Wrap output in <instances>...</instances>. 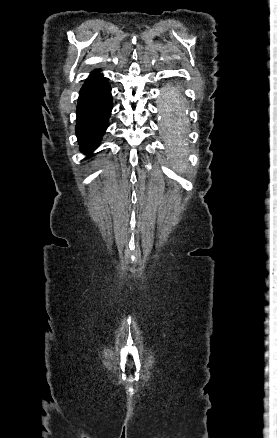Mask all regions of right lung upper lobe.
Returning <instances> with one entry per match:
<instances>
[{
	"mask_svg": "<svg viewBox=\"0 0 277 438\" xmlns=\"http://www.w3.org/2000/svg\"><path fill=\"white\" fill-rule=\"evenodd\" d=\"M94 72H99V70H95Z\"/></svg>",
	"mask_w": 277,
	"mask_h": 438,
	"instance_id": "obj_1",
	"label": "right lung upper lobe"
}]
</instances>
